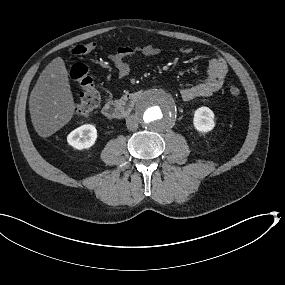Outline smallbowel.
Wrapping results in <instances>:
<instances>
[{"mask_svg": "<svg viewBox=\"0 0 285 285\" xmlns=\"http://www.w3.org/2000/svg\"><path fill=\"white\" fill-rule=\"evenodd\" d=\"M175 53L188 55L192 52L190 47H180L173 50ZM160 53V50L152 45H142L138 47L122 46L109 55V60L116 69L119 77L124 78L131 71V60L140 55L143 57H153ZM227 74V64L221 58H213L209 61L205 80L202 82L182 87L180 95L183 100L191 101L196 98L210 97L217 93L224 84Z\"/></svg>", "mask_w": 285, "mask_h": 285, "instance_id": "c3829d8e", "label": "small bowel"}]
</instances>
